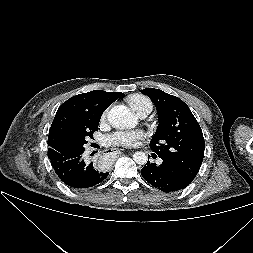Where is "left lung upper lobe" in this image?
Returning a JSON list of instances; mask_svg holds the SVG:
<instances>
[{
  "label": "left lung upper lobe",
  "mask_w": 253,
  "mask_h": 253,
  "mask_svg": "<svg viewBox=\"0 0 253 253\" xmlns=\"http://www.w3.org/2000/svg\"><path fill=\"white\" fill-rule=\"evenodd\" d=\"M155 104L159 125L150 148L161 159L196 177L204 157V138L189 107L178 97L159 89L141 90Z\"/></svg>",
  "instance_id": "5c2ea615"
}]
</instances>
